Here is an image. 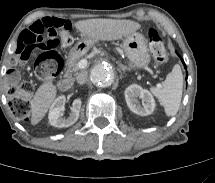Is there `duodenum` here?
<instances>
[{"label": "duodenum", "mask_w": 215, "mask_h": 183, "mask_svg": "<svg viewBox=\"0 0 215 183\" xmlns=\"http://www.w3.org/2000/svg\"><path fill=\"white\" fill-rule=\"evenodd\" d=\"M72 85H73V80L70 76H66L62 78L58 84L59 89L61 91H68L69 89H71Z\"/></svg>", "instance_id": "obj_1"}]
</instances>
